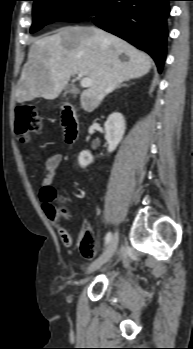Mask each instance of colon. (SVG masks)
Masks as SVG:
<instances>
[{"mask_svg": "<svg viewBox=\"0 0 193 349\" xmlns=\"http://www.w3.org/2000/svg\"><path fill=\"white\" fill-rule=\"evenodd\" d=\"M15 131L22 142H28L33 137L41 136L44 132V121L38 114L37 110L29 105H20L16 108ZM51 216L56 215V210L50 204L46 206ZM61 213L66 214V210L62 209ZM92 240H89L91 244Z\"/></svg>", "mask_w": 193, "mask_h": 349, "instance_id": "5ec220e1", "label": "colon"}]
</instances>
